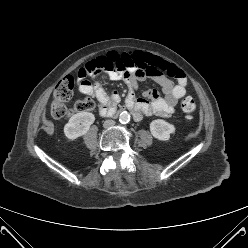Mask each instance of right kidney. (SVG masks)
<instances>
[{"mask_svg":"<svg viewBox=\"0 0 248 248\" xmlns=\"http://www.w3.org/2000/svg\"><path fill=\"white\" fill-rule=\"evenodd\" d=\"M94 121L95 116L90 112L77 113L64 126V134L68 139H77L88 132Z\"/></svg>","mask_w":248,"mask_h":248,"instance_id":"right-kidney-1","label":"right kidney"}]
</instances>
